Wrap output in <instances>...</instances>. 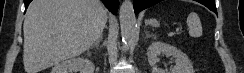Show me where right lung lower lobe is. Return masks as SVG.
<instances>
[{
    "mask_svg": "<svg viewBox=\"0 0 244 73\" xmlns=\"http://www.w3.org/2000/svg\"><path fill=\"white\" fill-rule=\"evenodd\" d=\"M32 0H24V3H25V8L28 7L29 3L31 2ZM106 7L113 13L115 14L118 10V6H119V2L118 0H102Z\"/></svg>",
    "mask_w": 244,
    "mask_h": 73,
    "instance_id": "1",
    "label": "right lung lower lobe"
}]
</instances>
